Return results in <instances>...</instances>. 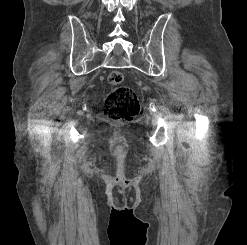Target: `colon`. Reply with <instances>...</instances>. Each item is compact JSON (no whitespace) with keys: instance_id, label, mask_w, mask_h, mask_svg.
I'll list each match as a JSON object with an SVG mask.
<instances>
[{"instance_id":"5ec220e1","label":"colon","mask_w":247,"mask_h":245,"mask_svg":"<svg viewBox=\"0 0 247 245\" xmlns=\"http://www.w3.org/2000/svg\"><path fill=\"white\" fill-rule=\"evenodd\" d=\"M107 81L110 90L104 100L105 116L112 120L133 119L140 109L136 93L131 88L122 85L123 75L120 71H111Z\"/></svg>"}]
</instances>
